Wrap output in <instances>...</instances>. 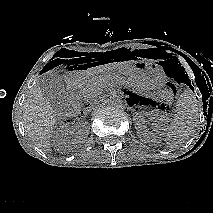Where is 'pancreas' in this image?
<instances>
[{"label": "pancreas", "instance_id": "pancreas-1", "mask_svg": "<svg viewBox=\"0 0 213 213\" xmlns=\"http://www.w3.org/2000/svg\"><path fill=\"white\" fill-rule=\"evenodd\" d=\"M92 86L94 85H90L82 91V95L85 100L92 99L96 96V92L94 91Z\"/></svg>", "mask_w": 213, "mask_h": 213}]
</instances>
